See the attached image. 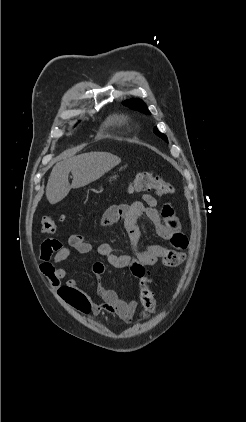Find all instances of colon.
Instances as JSON below:
<instances>
[{
    "label": "colon",
    "mask_w": 246,
    "mask_h": 422,
    "mask_svg": "<svg viewBox=\"0 0 246 422\" xmlns=\"http://www.w3.org/2000/svg\"><path fill=\"white\" fill-rule=\"evenodd\" d=\"M132 191L153 190L159 196H166L173 193L172 185L164 178L155 175L153 172L145 171L136 174L130 184ZM41 230L46 234H53L57 230V222L52 217H44L41 221ZM185 260V253L180 250H170L161 260L164 266L175 267L182 264ZM146 269L139 271V279L142 289L139 294L140 299V319H146L149 314L155 311L156 301L151 291L146 287L147 277Z\"/></svg>",
    "instance_id": "obj_1"
}]
</instances>
